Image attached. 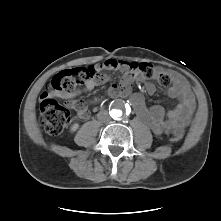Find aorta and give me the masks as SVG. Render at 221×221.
Here are the masks:
<instances>
[{"label": "aorta", "instance_id": "1", "mask_svg": "<svg viewBox=\"0 0 221 221\" xmlns=\"http://www.w3.org/2000/svg\"><path fill=\"white\" fill-rule=\"evenodd\" d=\"M111 114L114 119H120L123 115V109L121 107L118 109H113Z\"/></svg>", "mask_w": 221, "mask_h": 221}]
</instances>
